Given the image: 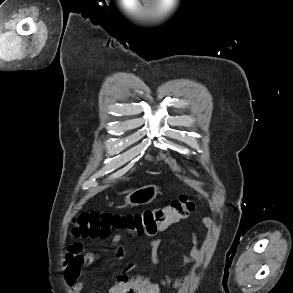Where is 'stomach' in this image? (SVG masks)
Here are the masks:
<instances>
[{"label":"stomach","instance_id":"1","mask_svg":"<svg viewBox=\"0 0 293 293\" xmlns=\"http://www.w3.org/2000/svg\"><path fill=\"white\" fill-rule=\"evenodd\" d=\"M158 194V187L149 185L132 191L125 197V204L138 206L151 203Z\"/></svg>","mask_w":293,"mask_h":293}]
</instances>
